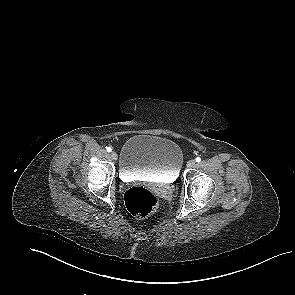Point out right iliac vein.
Wrapping results in <instances>:
<instances>
[{
  "instance_id": "right-iliac-vein-1",
  "label": "right iliac vein",
  "mask_w": 295,
  "mask_h": 295,
  "mask_svg": "<svg viewBox=\"0 0 295 295\" xmlns=\"http://www.w3.org/2000/svg\"><path fill=\"white\" fill-rule=\"evenodd\" d=\"M110 155H111V158H112L113 160H117L118 155H117L116 152L112 151Z\"/></svg>"
}]
</instances>
